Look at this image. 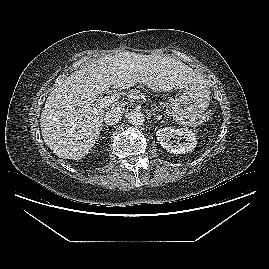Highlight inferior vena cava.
Wrapping results in <instances>:
<instances>
[{
    "label": "inferior vena cava",
    "mask_w": 269,
    "mask_h": 269,
    "mask_svg": "<svg viewBox=\"0 0 269 269\" xmlns=\"http://www.w3.org/2000/svg\"><path fill=\"white\" fill-rule=\"evenodd\" d=\"M123 113H124L123 108L112 107L105 112L103 120L107 125H115L122 118Z\"/></svg>",
    "instance_id": "obj_1"
}]
</instances>
